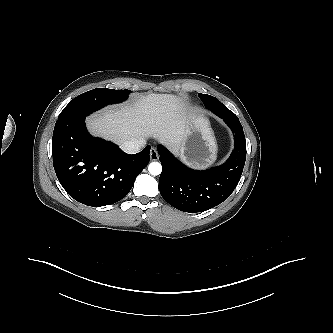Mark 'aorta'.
Returning a JSON list of instances; mask_svg holds the SVG:
<instances>
[{"label": "aorta", "mask_w": 333, "mask_h": 333, "mask_svg": "<svg viewBox=\"0 0 333 333\" xmlns=\"http://www.w3.org/2000/svg\"><path fill=\"white\" fill-rule=\"evenodd\" d=\"M148 171L151 175H159L162 171V166L159 162H151L148 165Z\"/></svg>", "instance_id": "1"}]
</instances>
